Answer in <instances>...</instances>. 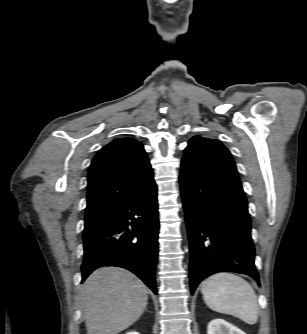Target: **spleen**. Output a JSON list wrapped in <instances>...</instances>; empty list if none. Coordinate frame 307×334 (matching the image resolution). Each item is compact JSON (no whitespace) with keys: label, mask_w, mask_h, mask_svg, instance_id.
Returning a JSON list of instances; mask_svg holds the SVG:
<instances>
[{"label":"spleen","mask_w":307,"mask_h":334,"mask_svg":"<svg viewBox=\"0 0 307 334\" xmlns=\"http://www.w3.org/2000/svg\"><path fill=\"white\" fill-rule=\"evenodd\" d=\"M201 292L213 311L232 315L250 325L257 322V296L243 278L232 273H216L203 282Z\"/></svg>","instance_id":"1"}]
</instances>
